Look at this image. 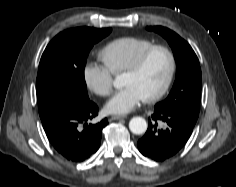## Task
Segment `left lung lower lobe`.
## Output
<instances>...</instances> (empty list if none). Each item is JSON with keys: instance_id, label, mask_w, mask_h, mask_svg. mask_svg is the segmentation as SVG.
Returning a JSON list of instances; mask_svg holds the SVG:
<instances>
[{"instance_id": "left-lung-lower-lobe-1", "label": "left lung lower lobe", "mask_w": 236, "mask_h": 187, "mask_svg": "<svg viewBox=\"0 0 236 187\" xmlns=\"http://www.w3.org/2000/svg\"><path fill=\"white\" fill-rule=\"evenodd\" d=\"M198 117L187 112L155 106L148 130L138 141L139 151L155 161L175 155L187 142ZM164 122L159 128L157 121Z\"/></svg>"}]
</instances>
